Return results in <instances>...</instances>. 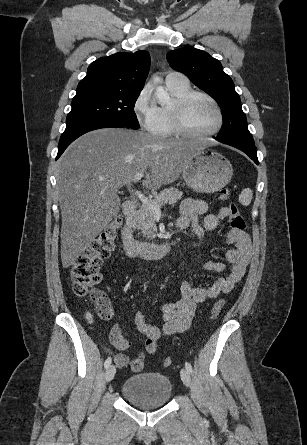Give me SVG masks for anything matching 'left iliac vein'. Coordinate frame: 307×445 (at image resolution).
Segmentation results:
<instances>
[{
	"label": "left iliac vein",
	"instance_id": "4c4485c4",
	"mask_svg": "<svg viewBox=\"0 0 307 445\" xmlns=\"http://www.w3.org/2000/svg\"><path fill=\"white\" fill-rule=\"evenodd\" d=\"M180 376H181V379H182L183 383L187 387H189L191 385V377H190V374L187 371V369L182 368L181 371H180Z\"/></svg>",
	"mask_w": 307,
	"mask_h": 445
}]
</instances>
